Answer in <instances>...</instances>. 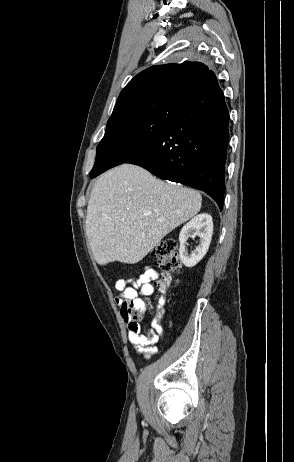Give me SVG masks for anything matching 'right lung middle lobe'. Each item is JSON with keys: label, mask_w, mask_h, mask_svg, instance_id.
Listing matches in <instances>:
<instances>
[{"label": "right lung middle lobe", "mask_w": 294, "mask_h": 462, "mask_svg": "<svg viewBox=\"0 0 294 462\" xmlns=\"http://www.w3.org/2000/svg\"><path fill=\"white\" fill-rule=\"evenodd\" d=\"M185 104V96L169 93L112 113L104 138L97 146L96 162L91 173L99 175L124 163L143 144L161 132Z\"/></svg>", "instance_id": "obj_1"}]
</instances>
